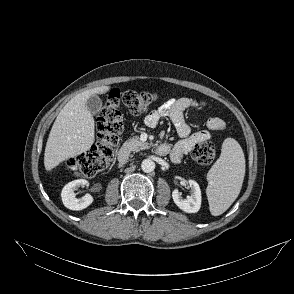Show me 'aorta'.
<instances>
[{
  "label": "aorta",
  "instance_id": "762f6f07",
  "mask_svg": "<svg viewBox=\"0 0 294 294\" xmlns=\"http://www.w3.org/2000/svg\"><path fill=\"white\" fill-rule=\"evenodd\" d=\"M141 169L145 173L152 172L155 169V163L151 159H144L141 163Z\"/></svg>",
  "mask_w": 294,
  "mask_h": 294
}]
</instances>
